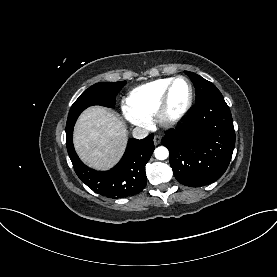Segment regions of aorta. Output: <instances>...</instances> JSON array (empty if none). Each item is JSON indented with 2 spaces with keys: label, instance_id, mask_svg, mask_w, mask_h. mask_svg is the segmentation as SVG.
<instances>
[{
  "label": "aorta",
  "instance_id": "762f6f07",
  "mask_svg": "<svg viewBox=\"0 0 277 277\" xmlns=\"http://www.w3.org/2000/svg\"><path fill=\"white\" fill-rule=\"evenodd\" d=\"M154 154H155L156 159H158V160H165L169 156V151H168V149L166 147L160 146V147H157L154 150Z\"/></svg>",
  "mask_w": 277,
  "mask_h": 277
}]
</instances>
